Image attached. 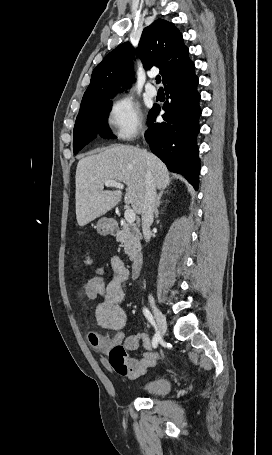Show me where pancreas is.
Instances as JSON below:
<instances>
[{"instance_id":"pancreas-1","label":"pancreas","mask_w":272,"mask_h":455,"mask_svg":"<svg viewBox=\"0 0 272 455\" xmlns=\"http://www.w3.org/2000/svg\"><path fill=\"white\" fill-rule=\"evenodd\" d=\"M140 232L136 225L124 223L117 233L116 240L124 244V252L135 261L141 251Z\"/></svg>"}]
</instances>
